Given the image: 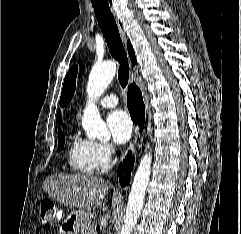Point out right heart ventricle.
I'll list each match as a JSON object with an SVG mask.
<instances>
[{
    "label": "right heart ventricle",
    "mask_w": 241,
    "mask_h": 234,
    "mask_svg": "<svg viewBox=\"0 0 241 234\" xmlns=\"http://www.w3.org/2000/svg\"><path fill=\"white\" fill-rule=\"evenodd\" d=\"M67 157L70 168L78 174L90 175L101 169L97 143L78 133L70 138Z\"/></svg>",
    "instance_id": "e07e8e85"
}]
</instances>
